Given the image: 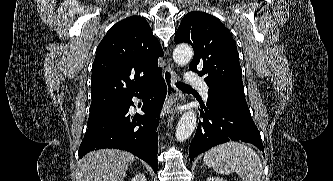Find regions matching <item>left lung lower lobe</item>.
I'll list each match as a JSON object with an SVG mask.
<instances>
[{
	"instance_id": "left-lung-lower-lobe-1",
	"label": "left lung lower lobe",
	"mask_w": 333,
	"mask_h": 181,
	"mask_svg": "<svg viewBox=\"0 0 333 181\" xmlns=\"http://www.w3.org/2000/svg\"><path fill=\"white\" fill-rule=\"evenodd\" d=\"M194 139L190 144V161L211 147L228 141H243L255 145L263 153L260 132L248 108L227 103L213 90H208L207 108L204 106Z\"/></svg>"
}]
</instances>
